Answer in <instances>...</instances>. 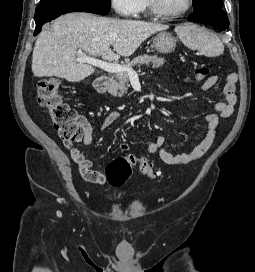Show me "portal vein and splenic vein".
Masks as SVG:
<instances>
[{
	"instance_id": "1",
	"label": "portal vein and splenic vein",
	"mask_w": 255,
	"mask_h": 272,
	"mask_svg": "<svg viewBox=\"0 0 255 272\" xmlns=\"http://www.w3.org/2000/svg\"><path fill=\"white\" fill-rule=\"evenodd\" d=\"M78 58L77 62H83V63H88L93 66H97L107 72L110 73H119V72H127L128 75H136V72L125 65H120L118 63H110L102 60L95 59L94 57H90L86 55L85 53L82 52V50H78Z\"/></svg>"
}]
</instances>
